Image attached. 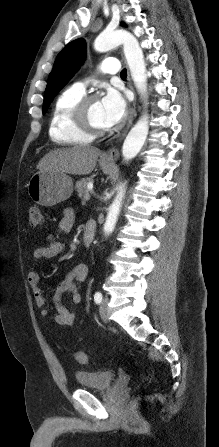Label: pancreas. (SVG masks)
<instances>
[{"instance_id": "cf45deb5", "label": "pancreas", "mask_w": 219, "mask_h": 447, "mask_svg": "<svg viewBox=\"0 0 219 447\" xmlns=\"http://www.w3.org/2000/svg\"><path fill=\"white\" fill-rule=\"evenodd\" d=\"M91 182H93L92 178H83L76 182L75 189L77 190L80 198L84 197L85 194L88 193L87 185H88V183H91Z\"/></svg>"}]
</instances>
